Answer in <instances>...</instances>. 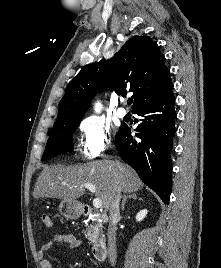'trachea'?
<instances>
[{"label":"trachea","mask_w":221,"mask_h":268,"mask_svg":"<svg viewBox=\"0 0 221 268\" xmlns=\"http://www.w3.org/2000/svg\"><path fill=\"white\" fill-rule=\"evenodd\" d=\"M132 102H133V100H128V105H131L132 104Z\"/></svg>","instance_id":"obj_1"}]
</instances>
